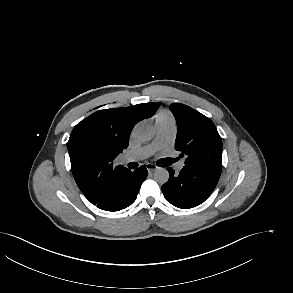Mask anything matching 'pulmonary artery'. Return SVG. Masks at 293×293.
Returning <instances> with one entry per match:
<instances>
[{
  "label": "pulmonary artery",
  "instance_id": "1",
  "mask_svg": "<svg viewBox=\"0 0 293 293\" xmlns=\"http://www.w3.org/2000/svg\"><path fill=\"white\" fill-rule=\"evenodd\" d=\"M156 127V140L152 145H148L142 148H139L127 155H125L122 158L123 163H130V162H137L140 160H144L151 156L154 151L160 147L169 142L170 140L173 139L175 136L176 132V126L175 124L171 125H155ZM184 164L183 163H178L176 166L177 170H181L183 168Z\"/></svg>",
  "mask_w": 293,
  "mask_h": 293
}]
</instances>
